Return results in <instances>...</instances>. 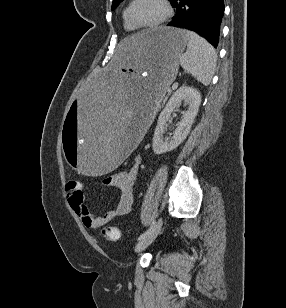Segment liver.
Instances as JSON below:
<instances>
[{"label":"liver","instance_id":"1","mask_svg":"<svg viewBox=\"0 0 286 308\" xmlns=\"http://www.w3.org/2000/svg\"><path fill=\"white\" fill-rule=\"evenodd\" d=\"M147 31H143L120 42L114 54L113 61L123 60L131 57L133 51L137 49L140 41L146 37Z\"/></svg>","mask_w":286,"mask_h":308}]
</instances>
